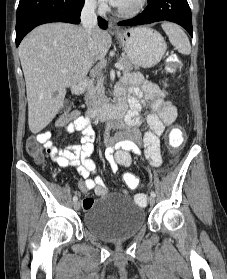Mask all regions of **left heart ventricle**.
Here are the masks:
<instances>
[{
    "label": "left heart ventricle",
    "mask_w": 227,
    "mask_h": 279,
    "mask_svg": "<svg viewBox=\"0 0 227 279\" xmlns=\"http://www.w3.org/2000/svg\"><path fill=\"white\" fill-rule=\"evenodd\" d=\"M138 1L139 0H122L118 7L126 10L132 9L137 5Z\"/></svg>",
    "instance_id": "1"
}]
</instances>
